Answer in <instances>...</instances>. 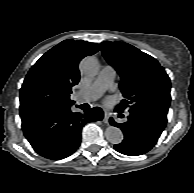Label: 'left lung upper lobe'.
<instances>
[{
    "label": "left lung upper lobe",
    "instance_id": "obj_1",
    "mask_svg": "<svg viewBox=\"0 0 194 193\" xmlns=\"http://www.w3.org/2000/svg\"><path fill=\"white\" fill-rule=\"evenodd\" d=\"M102 54L121 77L123 110L167 114L171 82L164 68L152 56L123 42H102Z\"/></svg>",
    "mask_w": 194,
    "mask_h": 193
}]
</instances>
